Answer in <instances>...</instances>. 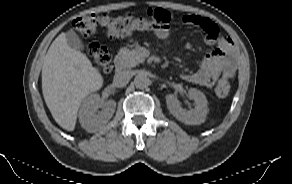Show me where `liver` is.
Returning <instances> with one entry per match:
<instances>
[{"instance_id":"1","label":"liver","mask_w":292,"mask_h":184,"mask_svg":"<svg viewBox=\"0 0 292 184\" xmlns=\"http://www.w3.org/2000/svg\"><path fill=\"white\" fill-rule=\"evenodd\" d=\"M103 77L90 60L61 33L49 47L42 66V92L54 120L73 131L83 99L99 90Z\"/></svg>"}]
</instances>
